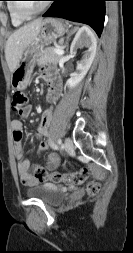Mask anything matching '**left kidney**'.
I'll return each mask as SVG.
<instances>
[{
	"label": "left kidney",
	"instance_id": "5707ae66",
	"mask_svg": "<svg viewBox=\"0 0 133 253\" xmlns=\"http://www.w3.org/2000/svg\"><path fill=\"white\" fill-rule=\"evenodd\" d=\"M83 47L88 49L84 52L81 61L77 63L76 71L66 82L69 88H74L82 81L96 55L97 40L94 33L88 27H82L78 30L72 41L70 53L75 55L76 50Z\"/></svg>",
	"mask_w": 133,
	"mask_h": 253
}]
</instances>
